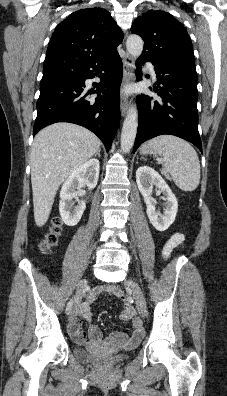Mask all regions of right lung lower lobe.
I'll return each instance as SVG.
<instances>
[{
  "mask_svg": "<svg viewBox=\"0 0 227 396\" xmlns=\"http://www.w3.org/2000/svg\"><path fill=\"white\" fill-rule=\"evenodd\" d=\"M102 71L96 90L87 91L85 80ZM122 76L118 52L86 65L43 72L33 135L50 124L70 122L91 130L109 151L120 121ZM91 93L98 95L95 101L85 99Z\"/></svg>",
  "mask_w": 227,
  "mask_h": 396,
  "instance_id": "1",
  "label": "right lung lower lobe"
}]
</instances>
